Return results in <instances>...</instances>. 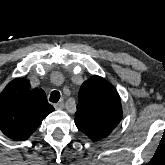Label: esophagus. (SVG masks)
<instances>
[{
  "label": "esophagus",
  "mask_w": 165,
  "mask_h": 165,
  "mask_svg": "<svg viewBox=\"0 0 165 165\" xmlns=\"http://www.w3.org/2000/svg\"><path fill=\"white\" fill-rule=\"evenodd\" d=\"M54 108L57 110H62L64 108V104L63 103H56V104H54Z\"/></svg>",
  "instance_id": "1"
}]
</instances>
